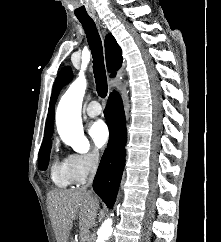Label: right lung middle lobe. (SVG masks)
Listing matches in <instances>:
<instances>
[{
	"instance_id": "dd1d6c3e",
	"label": "right lung middle lobe",
	"mask_w": 221,
	"mask_h": 242,
	"mask_svg": "<svg viewBox=\"0 0 221 242\" xmlns=\"http://www.w3.org/2000/svg\"><path fill=\"white\" fill-rule=\"evenodd\" d=\"M51 145V137L43 139L38 158L40 170H46L48 167Z\"/></svg>"
}]
</instances>
